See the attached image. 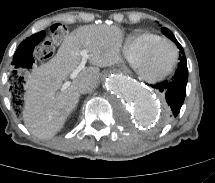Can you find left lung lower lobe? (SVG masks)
I'll return each mask as SVG.
<instances>
[{"label":"left lung lower lobe","mask_w":215,"mask_h":183,"mask_svg":"<svg viewBox=\"0 0 215 183\" xmlns=\"http://www.w3.org/2000/svg\"><path fill=\"white\" fill-rule=\"evenodd\" d=\"M188 68L186 58L180 60L174 76L169 81L151 85L159 90L166 99L167 118L176 117L183 105L186 95Z\"/></svg>","instance_id":"0a47b994"}]
</instances>
